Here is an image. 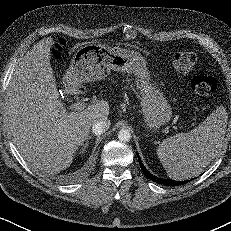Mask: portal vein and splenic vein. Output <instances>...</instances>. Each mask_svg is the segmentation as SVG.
I'll use <instances>...</instances> for the list:
<instances>
[{"label": "portal vein and splenic vein", "instance_id": "obj_1", "mask_svg": "<svg viewBox=\"0 0 231 231\" xmlns=\"http://www.w3.org/2000/svg\"><path fill=\"white\" fill-rule=\"evenodd\" d=\"M72 109L74 110H84L87 108V104L85 102H76L71 106Z\"/></svg>", "mask_w": 231, "mask_h": 231}]
</instances>
